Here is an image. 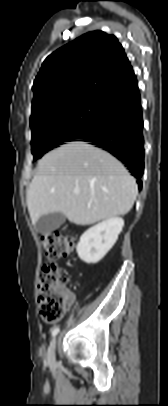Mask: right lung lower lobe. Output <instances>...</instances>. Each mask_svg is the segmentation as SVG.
I'll list each match as a JSON object with an SVG mask.
<instances>
[{
	"mask_svg": "<svg viewBox=\"0 0 168 406\" xmlns=\"http://www.w3.org/2000/svg\"><path fill=\"white\" fill-rule=\"evenodd\" d=\"M143 118L137 81L104 99V116L77 140L108 151L138 180L144 172ZM141 188V181L138 182Z\"/></svg>",
	"mask_w": 168,
	"mask_h": 406,
	"instance_id": "obj_1",
	"label": "right lung lower lobe"
}]
</instances>
